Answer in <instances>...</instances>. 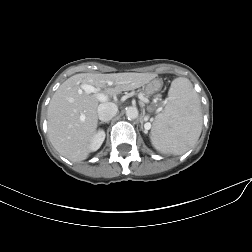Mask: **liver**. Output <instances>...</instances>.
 I'll return each mask as SVG.
<instances>
[{"instance_id": "6515ba94", "label": "liver", "mask_w": 252, "mask_h": 252, "mask_svg": "<svg viewBox=\"0 0 252 252\" xmlns=\"http://www.w3.org/2000/svg\"><path fill=\"white\" fill-rule=\"evenodd\" d=\"M149 73H81L64 81L51 98L47 110L48 136L53 147L72 162L85 160L98 125L99 100L86 92L87 84L103 89L107 98L149 83Z\"/></svg>"}]
</instances>
